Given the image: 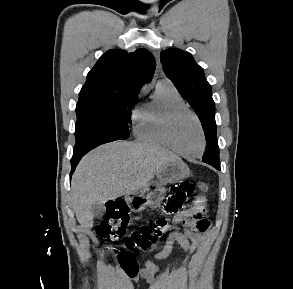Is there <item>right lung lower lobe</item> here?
<instances>
[{"label": "right lung lower lobe", "instance_id": "1", "mask_svg": "<svg viewBox=\"0 0 293 289\" xmlns=\"http://www.w3.org/2000/svg\"><path fill=\"white\" fill-rule=\"evenodd\" d=\"M89 150H83V151H74L72 159H71V165H72V171L71 175L74 172L77 164L79 163L80 159L83 157L85 153H87Z\"/></svg>", "mask_w": 293, "mask_h": 289}]
</instances>
